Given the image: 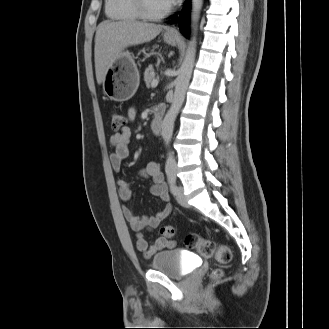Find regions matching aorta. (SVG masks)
Instances as JSON below:
<instances>
[{"instance_id":"1","label":"aorta","mask_w":329,"mask_h":329,"mask_svg":"<svg viewBox=\"0 0 329 329\" xmlns=\"http://www.w3.org/2000/svg\"><path fill=\"white\" fill-rule=\"evenodd\" d=\"M202 5H203V0H191L192 33L184 61L181 65L179 75L175 81V91H174L172 104L161 124V128H162L161 135L166 146L169 145L171 142L175 119L184 102L185 93L191 78L194 61H195V54H196L195 33H196L197 23ZM165 170L166 172H174L176 170V161L172 152L168 153Z\"/></svg>"}]
</instances>
